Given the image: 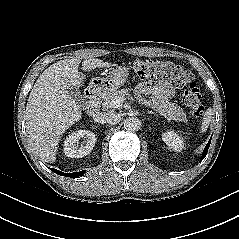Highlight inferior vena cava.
<instances>
[{
	"mask_svg": "<svg viewBox=\"0 0 239 239\" xmlns=\"http://www.w3.org/2000/svg\"><path fill=\"white\" fill-rule=\"evenodd\" d=\"M94 120L102 124H111L116 120V115L113 112L100 113L96 115Z\"/></svg>",
	"mask_w": 239,
	"mask_h": 239,
	"instance_id": "inferior-vena-cava-1",
	"label": "inferior vena cava"
}]
</instances>
